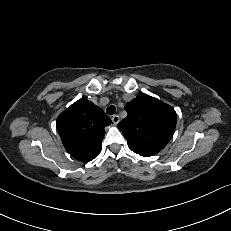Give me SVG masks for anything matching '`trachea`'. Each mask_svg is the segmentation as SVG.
<instances>
[{"instance_id":"3493384b","label":"trachea","mask_w":231,"mask_h":231,"mask_svg":"<svg viewBox=\"0 0 231 231\" xmlns=\"http://www.w3.org/2000/svg\"><path fill=\"white\" fill-rule=\"evenodd\" d=\"M106 112H107V114H109V115L115 114V112H116L115 106H114V105H110L109 107H107Z\"/></svg>"}]
</instances>
